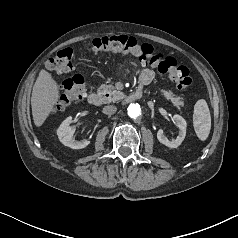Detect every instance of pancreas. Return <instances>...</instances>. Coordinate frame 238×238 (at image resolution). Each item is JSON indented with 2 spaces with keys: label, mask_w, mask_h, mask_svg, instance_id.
<instances>
[{
  "label": "pancreas",
  "mask_w": 238,
  "mask_h": 238,
  "mask_svg": "<svg viewBox=\"0 0 238 238\" xmlns=\"http://www.w3.org/2000/svg\"><path fill=\"white\" fill-rule=\"evenodd\" d=\"M161 94L178 109L180 110L181 107L184 105L182 98L177 97L171 90H160ZM98 93L101 95L109 94L108 100L116 102L124 98V93L117 91L113 85L102 84L98 88Z\"/></svg>",
  "instance_id": "pancreas-1"
}]
</instances>
